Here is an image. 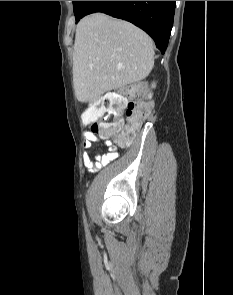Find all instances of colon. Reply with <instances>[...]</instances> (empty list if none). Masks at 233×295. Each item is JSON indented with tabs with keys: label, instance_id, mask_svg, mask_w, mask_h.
I'll use <instances>...</instances> for the list:
<instances>
[{
	"label": "colon",
	"instance_id": "1",
	"mask_svg": "<svg viewBox=\"0 0 233 295\" xmlns=\"http://www.w3.org/2000/svg\"><path fill=\"white\" fill-rule=\"evenodd\" d=\"M142 91L143 85L134 84L120 92L110 93L100 106L88 107L83 119L91 123L93 133L111 139L118 146L130 145L150 113V105L140 100ZM100 118L112 119L100 121Z\"/></svg>",
	"mask_w": 233,
	"mask_h": 295
}]
</instances>
